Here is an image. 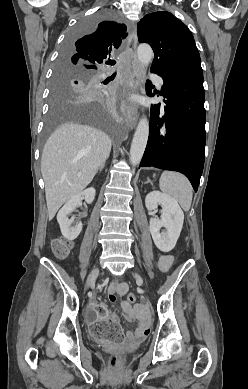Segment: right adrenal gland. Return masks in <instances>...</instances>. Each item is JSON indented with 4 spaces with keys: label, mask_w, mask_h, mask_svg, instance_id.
I'll return each instance as SVG.
<instances>
[{
    "label": "right adrenal gland",
    "mask_w": 248,
    "mask_h": 389,
    "mask_svg": "<svg viewBox=\"0 0 248 389\" xmlns=\"http://www.w3.org/2000/svg\"><path fill=\"white\" fill-rule=\"evenodd\" d=\"M105 167V161L101 164V166L99 167V171H102L103 170V168Z\"/></svg>",
    "instance_id": "obj_1"
}]
</instances>
